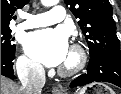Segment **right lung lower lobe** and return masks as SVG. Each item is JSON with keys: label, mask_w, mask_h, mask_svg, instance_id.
<instances>
[{"label": "right lung lower lobe", "mask_w": 121, "mask_h": 94, "mask_svg": "<svg viewBox=\"0 0 121 94\" xmlns=\"http://www.w3.org/2000/svg\"><path fill=\"white\" fill-rule=\"evenodd\" d=\"M14 58L15 52H1V75L15 78L12 63Z\"/></svg>", "instance_id": "right-lung-lower-lobe-1"}]
</instances>
